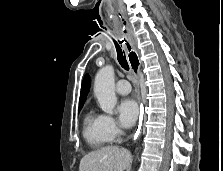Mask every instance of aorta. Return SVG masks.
<instances>
[{
    "mask_svg": "<svg viewBox=\"0 0 223 171\" xmlns=\"http://www.w3.org/2000/svg\"><path fill=\"white\" fill-rule=\"evenodd\" d=\"M114 76V68L106 65L98 71L94 80V94L100 108L108 114L114 113L117 103L114 90Z\"/></svg>",
    "mask_w": 223,
    "mask_h": 171,
    "instance_id": "obj_1",
    "label": "aorta"
}]
</instances>
